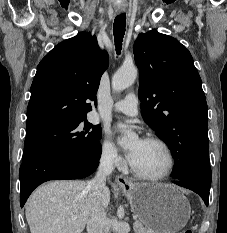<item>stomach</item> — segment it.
I'll return each instance as SVG.
<instances>
[{
  "label": "stomach",
  "mask_w": 227,
  "mask_h": 233,
  "mask_svg": "<svg viewBox=\"0 0 227 233\" xmlns=\"http://www.w3.org/2000/svg\"><path fill=\"white\" fill-rule=\"evenodd\" d=\"M133 213L152 233H176L188 222L186 197L169 184L136 183L122 188Z\"/></svg>",
  "instance_id": "obj_1"
}]
</instances>
